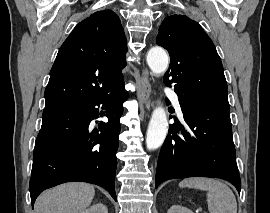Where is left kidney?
<instances>
[{"label": "left kidney", "mask_w": 270, "mask_h": 213, "mask_svg": "<svg viewBox=\"0 0 270 213\" xmlns=\"http://www.w3.org/2000/svg\"><path fill=\"white\" fill-rule=\"evenodd\" d=\"M167 213H193V212L184 206L173 205L169 208Z\"/></svg>", "instance_id": "obj_1"}]
</instances>
